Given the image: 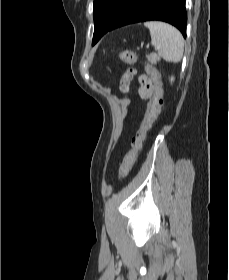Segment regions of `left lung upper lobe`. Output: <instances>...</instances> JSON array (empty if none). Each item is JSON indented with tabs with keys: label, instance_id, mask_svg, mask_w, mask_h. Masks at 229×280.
Here are the masks:
<instances>
[{
	"label": "left lung upper lobe",
	"instance_id": "left-lung-upper-lobe-1",
	"mask_svg": "<svg viewBox=\"0 0 229 280\" xmlns=\"http://www.w3.org/2000/svg\"><path fill=\"white\" fill-rule=\"evenodd\" d=\"M131 0H94V35L100 39L119 20Z\"/></svg>",
	"mask_w": 229,
	"mask_h": 280
}]
</instances>
